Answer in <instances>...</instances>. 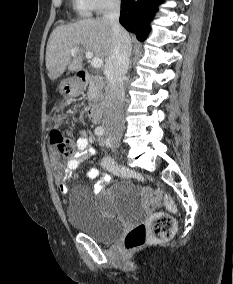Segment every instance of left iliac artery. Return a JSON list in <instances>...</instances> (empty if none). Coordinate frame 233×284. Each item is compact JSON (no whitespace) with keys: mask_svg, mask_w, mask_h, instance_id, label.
I'll return each instance as SVG.
<instances>
[{"mask_svg":"<svg viewBox=\"0 0 233 284\" xmlns=\"http://www.w3.org/2000/svg\"><path fill=\"white\" fill-rule=\"evenodd\" d=\"M106 145H109V146H110V144H109L108 140H106Z\"/></svg>","mask_w":233,"mask_h":284,"instance_id":"obj_1","label":"left iliac artery"}]
</instances>
